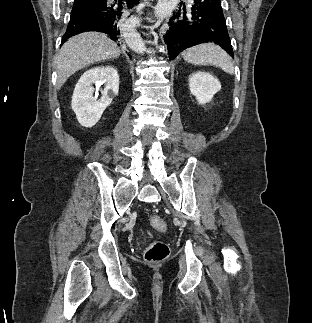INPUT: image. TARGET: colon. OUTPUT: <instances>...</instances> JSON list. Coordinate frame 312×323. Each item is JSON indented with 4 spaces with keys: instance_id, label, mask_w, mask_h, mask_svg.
Returning <instances> with one entry per match:
<instances>
[{
    "instance_id": "5ec220e1",
    "label": "colon",
    "mask_w": 312,
    "mask_h": 323,
    "mask_svg": "<svg viewBox=\"0 0 312 323\" xmlns=\"http://www.w3.org/2000/svg\"><path fill=\"white\" fill-rule=\"evenodd\" d=\"M150 223L153 229L158 232H163L167 229L163 219L157 215H154L150 219ZM168 255V245L160 241H155L146 248L144 258L148 263H161L167 259Z\"/></svg>"
}]
</instances>
